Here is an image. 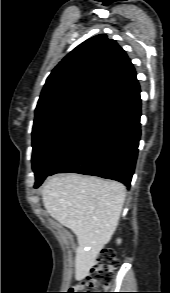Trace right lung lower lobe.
Wrapping results in <instances>:
<instances>
[{
    "label": "right lung lower lobe",
    "mask_w": 170,
    "mask_h": 293,
    "mask_svg": "<svg viewBox=\"0 0 170 293\" xmlns=\"http://www.w3.org/2000/svg\"><path fill=\"white\" fill-rule=\"evenodd\" d=\"M140 116L138 89L107 106L48 176L73 172L117 180L130 187L141 135Z\"/></svg>",
    "instance_id": "right-lung-lower-lobe-1"
}]
</instances>
